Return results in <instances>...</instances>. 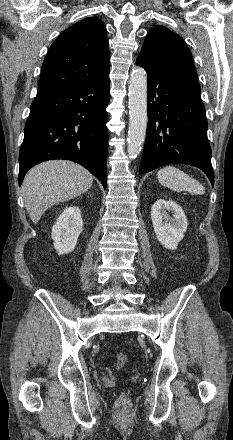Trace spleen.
I'll return each instance as SVG.
<instances>
[{
	"label": "spleen",
	"mask_w": 233,
	"mask_h": 440,
	"mask_svg": "<svg viewBox=\"0 0 233 440\" xmlns=\"http://www.w3.org/2000/svg\"><path fill=\"white\" fill-rule=\"evenodd\" d=\"M158 181L173 191H188L192 195L205 193L203 185L174 166H166L157 173Z\"/></svg>",
	"instance_id": "3e777b00"
}]
</instances>
